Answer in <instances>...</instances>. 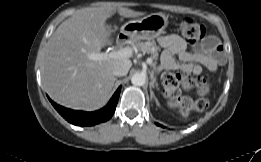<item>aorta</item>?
Masks as SVG:
<instances>
[{
    "label": "aorta",
    "mask_w": 261,
    "mask_h": 162,
    "mask_svg": "<svg viewBox=\"0 0 261 162\" xmlns=\"http://www.w3.org/2000/svg\"><path fill=\"white\" fill-rule=\"evenodd\" d=\"M146 81V77L144 74L142 73H135L132 77H131V83L135 86H142L145 84Z\"/></svg>",
    "instance_id": "1"
}]
</instances>
